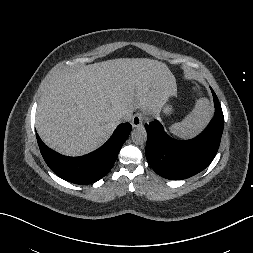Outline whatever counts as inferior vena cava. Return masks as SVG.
<instances>
[{
	"instance_id": "1",
	"label": "inferior vena cava",
	"mask_w": 253,
	"mask_h": 253,
	"mask_svg": "<svg viewBox=\"0 0 253 253\" xmlns=\"http://www.w3.org/2000/svg\"><path fill=\"white\" fill-rule=\"evenodd\" d=\"M120 121H130L132 119V113L126 112L118 115Z\"/></svg>"
}]
</instances>
